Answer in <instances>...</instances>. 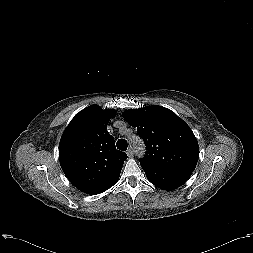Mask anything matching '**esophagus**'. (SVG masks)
<instances>
[{
  "label": "esophagus",
  "mask_w": 253,
  "mask_h": 253,
  "mask_svg": "<svg viewBox=\"0 0 253 253\" xmlns=\"http://www.w3.org/2000/svg\"><path fill=\"white\" fill-rule=\"evenodd\" d=\"M126 153H127L128 157H132L134 154L131 148H129Z\"/></svg>",
  "instance_id": "34e87169"
}]
</instances>
